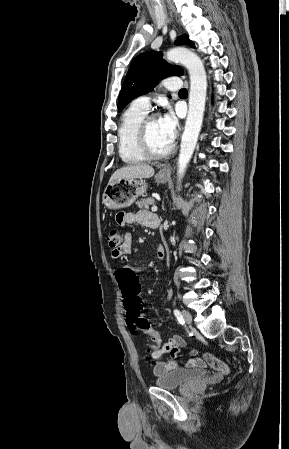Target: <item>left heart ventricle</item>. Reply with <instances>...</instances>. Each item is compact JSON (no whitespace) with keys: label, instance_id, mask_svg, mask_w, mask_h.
<instances>
[{"label":"left heart ventricle","instance_id":"left-heart-ventricle-1","mask_svg":"<svg viewBox=\"0 0 289 449\" xmlns=\"http://www.w3.org/2000/svg\"><path fill=\"white\" fill-rule=\"evenodd\" d=\"M148 139L150 147L155 153L167 151L173 143L161 127L159 119H155L150 123L148 128Z\"/></svg>","mask_w":289,"mask_h":449}]
</instances>
